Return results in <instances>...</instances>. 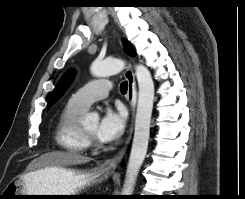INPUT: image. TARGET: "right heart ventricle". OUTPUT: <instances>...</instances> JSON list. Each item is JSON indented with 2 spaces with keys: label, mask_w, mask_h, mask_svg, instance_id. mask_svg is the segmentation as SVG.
<instances>
[{
  "label": "right heart ventricle",
  "mask_w": 245,
  "mask_h": 199,
  "mask_svg": "<svg viewBox=\"0 0 245 199\" xmlns=\"http://www.w3.org/2000/svg\"><path fill=\"white\" fill-rule=\"evenodd\" d=\"M85 110L69 102L62 110L56 125V140L60 147L71 154H81L88 150L79 119Z\"/></svg>",
  "instance_id": "1"
}]
</instances>
